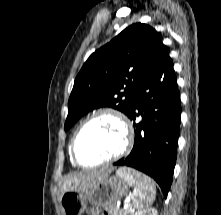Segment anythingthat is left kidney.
I'll return each mask as SVG.
<instances>
[{
    "label": "left kidney",
    "instance_id": "obj_1",
    "mask_svg": "<svg viewBox=\"0 0 221 215\" xmlns=\"http://www.w3.org/2000/svg\"><path fill=\"white\" fill-rule=\"evenodd\" d=\"M135 215H157V210L155 208H147L136 212Z\"/></svg>",
    "mask_w": 221,
    "mask_h": 215
}]
</instances>
